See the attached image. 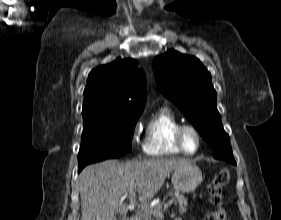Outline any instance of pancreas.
I'll return each instance as SVG.
<instances>
[{
    "mask_svg": "<svg viewBox=\"0 0 281 220\" xmlns=\"http://www.w3.org/2000/svg\"><path fill=\"white\" fill-rule=\"evenodd\" d=\"M168 195L174 198L175 204H178L180 214L186 213L188 205L187 199L178 192H171ZM161 208L162 204H158L154 207V210H156L157 212H162ZM142 220H160V216L154 213H147Z\"/></svg>",
    "mask_w": 281,
    "mask_h": 220,
    "instance_id": "obj_1",
    "label": "pancreas"
}]
</instances>
